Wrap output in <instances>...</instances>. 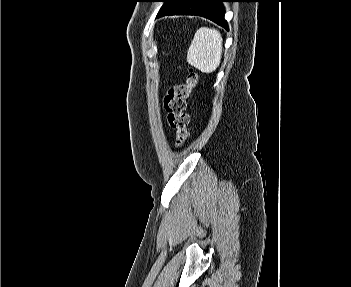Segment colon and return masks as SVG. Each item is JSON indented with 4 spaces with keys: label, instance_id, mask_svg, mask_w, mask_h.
<instances>
[{
    "label": "colon",
    "instance_id": "5ec220e1",
    "mask_svg": "<svg viewBox=\"0 0 351 287\" xmlns=\"http://www.w3.org/2000/svg\"><path fill=\"white\" fill-rule=\"evenodd\" d=\"M198 75L190 69L183 83L172 86L164 98V108L170 127L175 131V145L180 147L188 138L189 114L187 101L197 85Z\"/></svg>",
    "mask_w": 351,
    "mask_h": 287
}]
</instances>
